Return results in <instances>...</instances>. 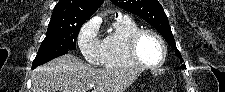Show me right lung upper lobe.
<instances>
[{
	"instance_id": "obj_1",
	"label": "right lung upper lobe",
	"mask_w": 225,
	"mask_h": 92,
	"mask_svg": "<svg viewBox=\"0 0 225 92\" xmlns=\"http://www.w3.org/2000/svg\"><path fill=\"white\" fill-rule=\"evenodd\" d=\"M104 0H59L48 26L64 25L75 20L86 21Z\"/></svg>"
}]
</instances>
